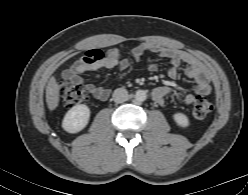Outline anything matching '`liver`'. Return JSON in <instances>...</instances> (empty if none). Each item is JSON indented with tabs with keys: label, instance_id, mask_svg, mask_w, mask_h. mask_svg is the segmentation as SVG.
<instances>
[{
	"label": "liver",
	"instance_id": "liver-1",
	"mask_svg": "<svg viewBox=\"0 0 248 195\" xmlns=\"http://www.w3.org/2000/svg\"><path fill=\"white\" fill-rule=\"evenodd\" d=\"M59 85L54 76H52L46 86V103L50 111L57 108L59 104Z\"/></svg>",
	"mask_w": 248,
	"mask_h": 195
}]
</instances>
